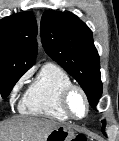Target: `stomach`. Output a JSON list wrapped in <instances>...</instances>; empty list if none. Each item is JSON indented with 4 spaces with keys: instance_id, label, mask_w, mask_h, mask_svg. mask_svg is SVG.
<instances>
[{
    "instance_id": "1",
    "label": "stomach",
    "mask_w": 119,
    "mask_h": 141,
    "mask_svg": "<svg viewBox=\"0 0 119 141\" xmlns=\"http://www.w3.org/2000/svg\"><path fill=\"white\" fill-rule=\"evenodd\" d=\"M75 139L74 131L66 126H59L53 129L44 141H72Z\"/></svg>"
}]
</instances>
